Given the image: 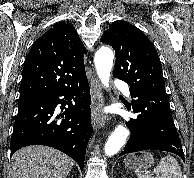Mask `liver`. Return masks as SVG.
Listing matches in <instances>:
<instances>
[{"label":"liver","mask_w":194,"mask_h":178,"mask_svg":"<svg viewBox=\"0 0 194 178\" xmlns=\"http://www.w3.org/2000/svg\"><path fill=\"white\" fill-rule=\"evenodd\" d=\"M73 160L64 153L41 145L24 147L11 159L10 178H66Z\"/></svg>","instance_id":"1"}]
</instances>
